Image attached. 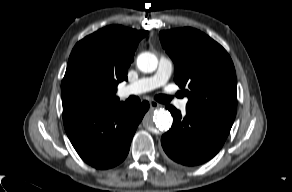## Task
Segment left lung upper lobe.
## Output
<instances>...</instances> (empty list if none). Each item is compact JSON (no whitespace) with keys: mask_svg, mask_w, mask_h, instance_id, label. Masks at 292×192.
<instances>
[{"mask_svg":"<svg viewBox=\"0 0 292 192\" xmlns=\"http://www.w3.org/2000/svg\"><path fill=\"white\" fill-rule=\"evenodd\" d=\"M175 64V82L186 89V111L234 120L236 73L226 50L199 30L179 28L159 33Z\"/></svg>","mask_w":292,"mask_h":192,"instance_id":"1","label":"left lung upper lobe"}]
</instances>
